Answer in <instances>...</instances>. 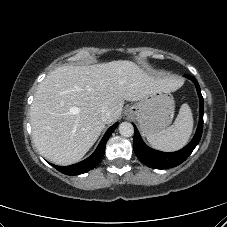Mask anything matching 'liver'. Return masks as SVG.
Masks as SVG:
<instances>
[{
	"mask_svg": "<svg viewBox=\"0 0 227 227\" xmlns=\"http://www.w3.org/2000/svg\"><path fill=\"white\" fill-rule=\"evenodd\" d=\"M180 85L178 79L150 75L128 60L58 67L40 83L31 105L34 144L55 164L77 162L105 124L120 117L125 100L140 101L150 93L175 91ZM102 107L112 113L107 122L101 119Z\"/></svg>",
	"mask_w": 227,
	"mask_h": 227,
	"instance_id": "6515ba94",
	"label": "liver"
}]
</instances>
